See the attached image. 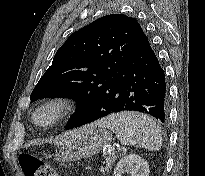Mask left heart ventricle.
Masks as SVG:
<instances>
[{"label": "left heart ventricle", "instance_id": "b2bd125f", "mask_svg": "<svg viewBox=\"0 0 205 176\" xmlns=\"http://www.w3.org/2000/svg\"><path fill=\"white\" fill-rule=\"evenodd\" d=\"M41 121H44V120H46V116H40V118H39Z\"/></svg>", "mask_w": 205, "mask_h": 176}]
</instances>
